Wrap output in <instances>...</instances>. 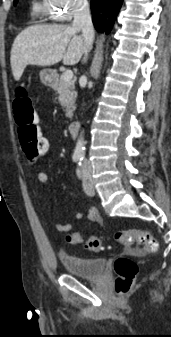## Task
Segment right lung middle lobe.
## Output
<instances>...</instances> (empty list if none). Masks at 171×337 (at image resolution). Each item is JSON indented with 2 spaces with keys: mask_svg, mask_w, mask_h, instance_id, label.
<instances>
[{
  "mask_svg": "<svg viewBox=\"0 0 171 337\" xmlns=\"http://www.w3.org/2000/svg\"><path fill=\"white\" fill-rule=\"evenodd\" d=\"M18 0H15L14 3L16 4Z\"/></svg>",
  "mask_w": 171,
  "mask_h": 337,
  "instance_id": "1",
  "label": "right lung middle lobe"
}]
</instances>
